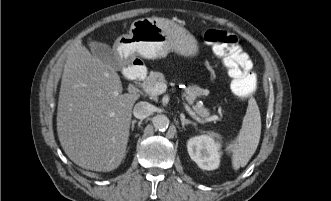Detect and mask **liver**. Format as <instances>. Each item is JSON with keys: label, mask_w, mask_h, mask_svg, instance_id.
Instances as JSON below:
<instances>
[{"label": "liver", "mask_w": 331, "mask_h": 201, "mask_svg": "<svg viewBox=\"0 0 331 201\" xmlns=\"http://www.w3.org/2000/svg\"><path fill=\"white\" fill-rule=\"evenodd\" d=\"M118 73L76 44L68 51L57 108L60 144L76 165L109 172L125 157L137 93L122 94Z\"/></svg>", "instance_id": "liver-1"}]
</instances>
